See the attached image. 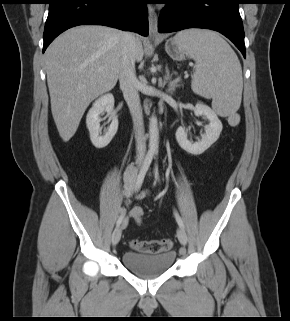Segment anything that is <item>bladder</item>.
Masks as SVG:
<instances>
[{
	"label": "bladder",
	"instance_id": "obj_1",
	"mask_svg": "<svg viewBox=\"0 0 290 321\" xmlns=\"http://www.w3.org/2000/svg\"><path fill=\"white\" fill-rule=\"evenodd\" d=\"M175 260L176 253L171 250L159 254L127 251L122 255L123 265L143 278L157 277L166 273L173 266Z\"/></svg>",
	"mask_w": 290,
	"mask_h": 321
}]
</instances>
